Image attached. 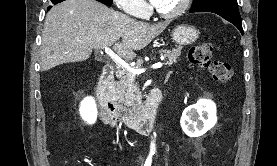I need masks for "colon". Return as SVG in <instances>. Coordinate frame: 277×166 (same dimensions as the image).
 <instances>
[{"instance_id":"colon-1","label":"colon","mask_w":277,"mask_h":166,"mask_svg":"<svg viewBox=\"0 0 277 166\" xmlns=\"http://www.w3.org/2000/svg\"><path fill=\"white\" fill-rule=\"evenodd\" d=\"M214 46L209 42H202L190 48L188 58L197 67L206 70L218 82L227 83L233 72L229 63L213 58Z\"/></svg>"}]
</instances>
